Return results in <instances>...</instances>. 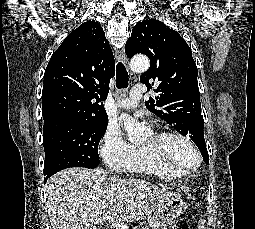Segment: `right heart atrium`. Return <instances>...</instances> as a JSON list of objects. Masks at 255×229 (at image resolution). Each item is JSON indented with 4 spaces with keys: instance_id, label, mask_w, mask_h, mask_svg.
Instances as JSON below:
<instances>
[{
    "instance_id": "1",
    "label": "right heart atrium",
    "mask_w": 255,
    "mask_h": 229,
    "mask_svg": "<svg viewBox=\"0 0 255 229\" xmlns=\"http://www.w3.org/2000/svg\"><path fill=\"white\" fill-rule=\"evenodd\" d=\"M99 150L108 168L122 171L130 157L132 145L124 139L119 129L108 127L102 137Z\"/></svg>"
}]
</instances>
